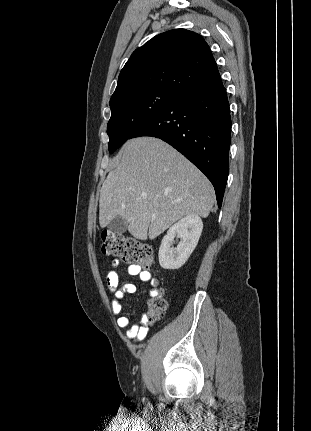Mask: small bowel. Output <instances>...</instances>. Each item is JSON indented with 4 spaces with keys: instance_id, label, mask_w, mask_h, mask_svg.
<instances>
[{
    "instance_id": "small-bowel-1",
    "label": "small bowel",
    "mask_w": 311,
    "mask_h": 431,
    "mask_svg": "<svg viewBox=\"0 0 311 431\" xmlns=\"http://www.w3.org/2000/svg\"><path fill=\"white\" fill-rule=\"evenodd\" d=\"M113 266L118 267L119 261H113ZM126 272L131 276H137L142 282H149L152 280V275L149 271L144 270L141 266L131 264L126 268ZM106 282L109 289L114 293V299L112 301L113 313L119 315L122 311L121 301L127 294H134L136 292V286L132 283H125L121 287L119 286V274L116 271H110L106 275ZM158 290L151 288L149 294L151 297L157 295ZM117 323L122 328H127L126 336L130 339L141 341L147 334L146 320L144 316L136 318L132 325L130 320L126 316H119Z\"/></svg>"
}]
</instances>
